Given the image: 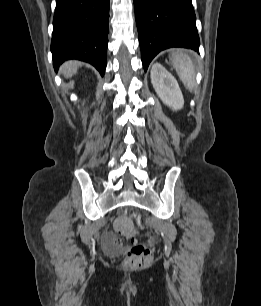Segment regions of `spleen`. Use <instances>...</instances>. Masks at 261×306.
I'll return each mask as SVG.
<instances>
[{"mask_svg":"<svg viewBox=\"0 0 261 306\" xmlns=\"http://www.w3.org/2000/svg\"><path fill=\"white\" fill-rule=\"evenodd\" d=\"M172 63L184 85L192 91L195 85V69L192 59L181 52L172 56Z\"/></svg>","mask_w":261,"mask_h":306,"instance_id":"obj_1","label":"spleen"}]
</instances>
